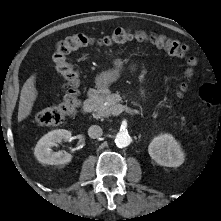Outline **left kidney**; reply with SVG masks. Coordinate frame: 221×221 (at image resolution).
Instances as JSON below:
<instances>
[{
  "label": "left kidney",
  "instance_id": "left-kidney-1",
  "mask_svg": "<svg viewBox=\"0 0 221 221\" xmlns=\"http://www.w3.org/2000/svg\"><path fill=\"white\" fill-rule=\"evenodd\" d=\"M148 152L161 166L179 167L184 162V152L175 138L168 133L156 136L149 144Z\"/></svg>",
  "mask_w": 221,
  "mask_h": 221
}]
</instances>
